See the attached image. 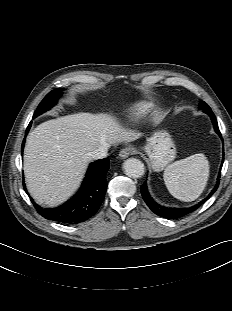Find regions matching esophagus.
I'll use <instances>...</instances> for the list:
<instances>
[{"mask_svg":"<svg viewBox=\"0 0 232 311\" xmlns=\"http://www.w3.org/2000/svg\"><path fill=\"white\" fill-rule=\"evenodd\" d=\"M135 149L133 147H125L119 152V157L122 159L127 158L131 154L135 153Z\"/></svg>","mask_w":232,"mask_h":311,"instance_id":"obj_1","label":"esophagus"}]
</instances>
